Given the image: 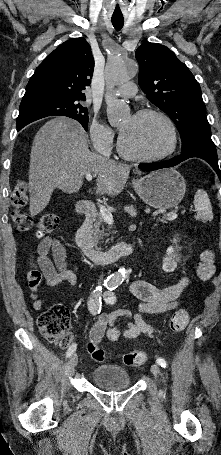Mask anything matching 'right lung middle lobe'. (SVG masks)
<instances>
[{
  "instance_id": "1",
  "label": "right lung middle lobe",
  "mask_w": 221,
  "mask_h": 455,
  "mask_svg": "<svg viewBox=\"0 0 221 455\" xmlns=\"http://www.w3.org/2000/svg\"><path fill=\"white\" fill-rule=\"evenodd\" d=\"M17 118V129H22L25 125L47 117V116H67L81 123L87 131L88 111L83 107L80 100H61L50 101L36 104L20 106Z\"/></svg>"
}]
</instances>
